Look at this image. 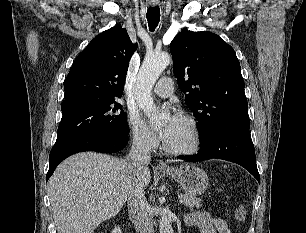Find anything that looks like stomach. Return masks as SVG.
<instances>
[{"label": "stomach", "mask_w": 306, "mask_h": 233, "mask_svg": "<svg viewBox=\"0 0 306 233\" xmlns=\"http://www.w3.org/2000/svg\"><path fill=\"white\" fill-rule=\"evenodd\" d=\"M161 172L174 178L183 191L192 196L203 194L209 185L207 173L193 164H184Z\"/></svg>", "instance_id": "1"}]
</instances>
